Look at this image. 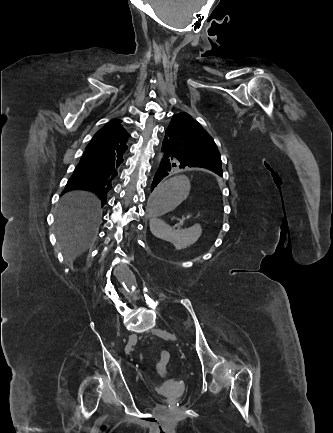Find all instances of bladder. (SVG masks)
<instances>
[{
	"instance_id": "1",
	"label": "bladder",
	"mask_w": 333,
	"mask_h": 433,
	"mask_svg": "<svg viewBox=\"0 0 333 433\" xmlns=\"http://www.w3.org/2000/svg\"><path fill=\"white\" fill-rule=\"evenodd\" d=\"M165 399L167 400V401H169V402H175V401H177L178 399H179V397L178 396H176V395H166L165 396Z\"/></svg>"
}]
</instances>
